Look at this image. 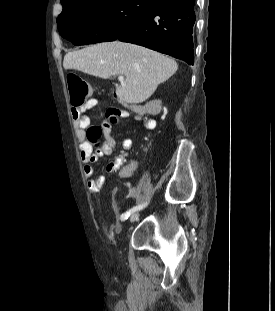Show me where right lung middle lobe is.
<instances>
[{"label":"right lung middle lobe","mask_w":275,"mask_h":311,"mask_svg":"<svg viewBox=\"0 0 275 311\" xmlns=\"http://www.w3.org/2000/svg\"><path fill=\"white\" fill-rule=\"evenodd\" d=\"M159 0H74L63 5L58 30L75 45L113 41Z\"/></svg>","instance_id":"right-lung-middle-lobe-1"}]
</instances>
